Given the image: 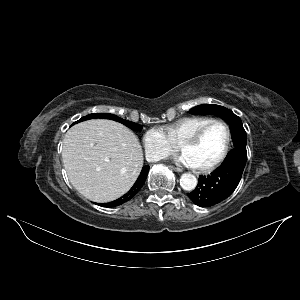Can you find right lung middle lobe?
<instances>
[{
    "label": "right lung middle lobe",
    "mask_w": 300,
    "mask_h": 300,
    "mask_svg": "<svg viewBox=\"0 0 300 300\" xmlns=\"http://www.w3.org/2000/svg\"><path fill=\"white\" fill-rule=\"evenodd\" d=\"M92 118H105V119L115 120L120 123H123L124 125H126L127 127H129L130 129H133V130H140L142 127L141 125L133 123L131 121L123 120V119L117 117L116 115L106 114V113L90 114V115L82 117L80 120L76 121L75 123H78V122H81L84 120H88V119H92Z\"/></svg>",
    "instance_id": "obj_1"
}]
</instances>
